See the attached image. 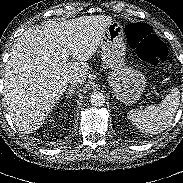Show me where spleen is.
<instances>
[{
	"label": "spleen",
	"instance_id": "1",
	"mask_svg": "<svg viewBox=\"0 0 183 183\" xmlns=\"http://www.w3.org/2000/svg\"><path fill=\"white\" fill-rule=\"evenodd\" d=\"M179 89L174 87L160 105H149L145 109H133L128 112V119L142 133L156 135L166 130L178 110Z\"/></svg>",
	"mask_w": 183,
	"mask_h": 183
}]
</instances>
